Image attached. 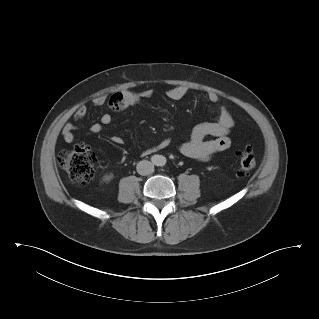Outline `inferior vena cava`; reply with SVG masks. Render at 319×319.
I'll use <instances>...</instances> for the list:
<instances>
[{"mask_svg": "<svg viewBox=\"0 0 319 319\" xmlns=\"http://www.w3.org/2000/svg\"><path fill=\"white\" fill-rule=\"evenodd\" d=\"M137 172L140 175H149L154 172V165L147 160H142L137 164Z\"/></svg>", "mask_w": 319, "mask_h": 319, "instance_id": "1", "label": "inferior vena cava"}]
</instances>
